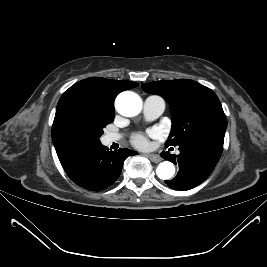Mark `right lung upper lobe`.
<instances>
[{"label":"right lung upper lobe","mask_w":267,"mask_h":267,"mask_svg":"<svg viewBox=\"0 0 267 267\" xmlns=\"http://www.w3.org/2000/svg\"><path fill=\"white\" fill-rule=\"evenodd\" d=\"M137 86L138 84L136 82L131 81L110 80L100 77L87 78L71 86L61 96L57 105L56 112L65 102L77 96L91 97L95 99L98 103H100L102 106L114 109L115 97L121 91L131 89ZM52 140L58 156L66 153V151L59 149L56 140L53 136Z\"/></svg>","instance_id":"1"}]
</instances>
